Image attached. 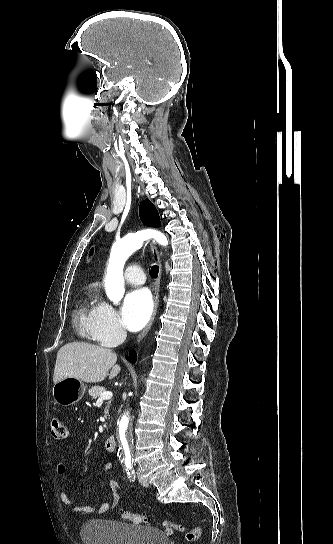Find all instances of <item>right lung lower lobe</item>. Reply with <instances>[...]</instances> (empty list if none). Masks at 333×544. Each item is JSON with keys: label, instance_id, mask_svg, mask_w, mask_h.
Here are the masks:
<instances>
[{"label": "right lung lower lobe", "instance_id": "98d812e1", "mask_svg": "<svg viewBox=\"0 0 333 544\" xmlns=\"http://www.w3.org/2000/svg\"><path fill=\"white\" fill-rule=\"evenodd\" d=\"M126 359L131 363H135L136 362V355L130 354V356L126 357Z\"/></svg>", "mask_w": 333, "mask_h": 544}]
</instances>
